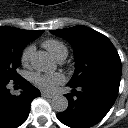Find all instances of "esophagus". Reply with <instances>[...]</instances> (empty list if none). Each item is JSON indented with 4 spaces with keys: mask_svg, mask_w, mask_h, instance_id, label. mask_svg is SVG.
Instances as JSON below:
<instances>
[{
    "mask_svg": "<svg viewBox=\"0 0 128 128\" xmlns=\"http://www.w3.org/2000/svg\"><path fill=\"white\" fill-rule=\"evenodd\" d=\"M41 95H42V97H45V98H53L54 97L53 94H49V93H46V92H41Z\"/></svg>",
    "mask_w": 128,
    "mask_h": 128,
    "instance_id": "1",
    "label": "esophagus"
}]
</instances>
